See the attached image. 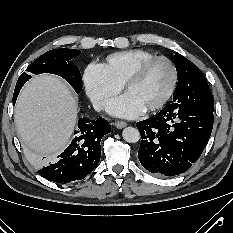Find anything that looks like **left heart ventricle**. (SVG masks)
<instances>
[{"instance_id": "obj_1", "label": "left heart ventricle", "mask_w": 233, "mask_h": 233, "mask_svg": "<svg viewBox=\"0 0 233 233\" xmlns=\"http://www.w3.org/2000/svg\"><path fill=\"white\" fill-rule=\"evenodd\" d=\"M172 78L169 65L164 61L152 64L142 77L132 83L127 93L143 108H148L166 93Z\"/></svg>"}]
</instances>
